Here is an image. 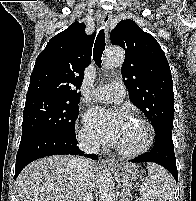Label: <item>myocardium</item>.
<instances>
[{"label":"myocardium","mask_w":196,"mask_h":201,"mask_svg":"<svg viewBox=\"0 0 196 201\" xmlns=\"http://www.w3.org/2000/svg\"><path fill=\"white\" fill-rule=\"evenodd\" d=\"M135 122L139 123L144 128L145 140L141 147L132 151H126L121 149L118 146H115V150L117 151V153L126 158H135V157L143 155L152 147L154 142V130L152 125L143 118H136Z\"/></svg>","instance_id":"1"}]
</instances>
